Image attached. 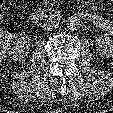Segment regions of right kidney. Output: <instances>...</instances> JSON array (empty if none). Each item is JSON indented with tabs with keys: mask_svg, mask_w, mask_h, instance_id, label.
Listing matches in <instances>:
<instances>
[{
	"mask_svg": "<svg viewBox=\"0 0 113 113\" xmlns=\"http://www.w3.org/2000/svg\"><path fill=\"white\" fill-rule=\"evenodd\" d=\"M30 39L27 36H22L17 39L12 51L10 52L11 58L14 61H22L29 54Z\"/></svg>",
	"mask_w": 113,
	"mask_h": 113,
	"instance_id": "right-kidney-1",
	"label": "right kidney"
}]
</instances>
